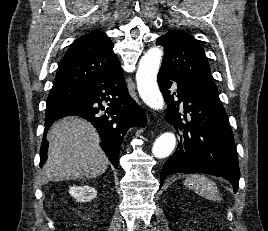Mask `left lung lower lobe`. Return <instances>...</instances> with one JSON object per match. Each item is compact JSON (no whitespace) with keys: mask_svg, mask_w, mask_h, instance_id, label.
Instances as JSON below:
<instances>
[{"mask_svg":"<svg viewBox=\"0 0 268 231\" xmlns=\"http://www.w3.org/2000/svg\"><path fill=\"white\" fill-rule=\"evenodd\" d=\"M176 92L171 94V85ZM158 84L169 106L166 119L179 133L180 142L175 153L165 162L161 172L160 187L172 173H206L221 176L238 189L239 165L233 133L228 116L222 106L195 85L172 73L161 70ZM184 103V119L179 107ZM188 113V114H187Z\"/></svg>","mask_w":268,"mask_h":231,"instance_id":"left-lung-lower-lobe-1","label":"left lung lower lobe"}]
</instances>
